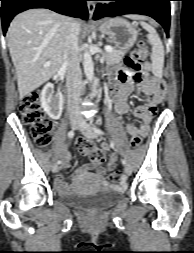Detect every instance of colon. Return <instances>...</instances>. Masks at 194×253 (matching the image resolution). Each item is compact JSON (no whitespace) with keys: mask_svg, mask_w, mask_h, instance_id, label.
Wrapping results in <instances>:
<instances>
[{"mask_svg":"<svg viewBox=\"0 0 194 253\" xmlns=\"http://www.w3.org/2000/svg\"><path fill=\"white\" fill-rule=\"evenodd\" d=\"M148 55V47L145 42H140L138 48L125 59L127 69L140 74L144 61L141 56ZM38 92L27 94L20 103V112L23 122L29 126L33 139L37 146L43 150L47 149L51 142L53 122L44 114L39 100ZM153 112L154 108H149ZM143 112V111H140ZM142 138L138 135L131 136V146L137 148L141 144ZM78 150L83 154H89L91 162L98 166L104 161V153L97 149L91 141L81 140L78 143ZM109 179L114 183L122 181V173L115 170L110 173Z\"/></svg>","mask_w":194,"mask_h":253,"instance_id":"colon-1","label":"colon"}]
</instances>
